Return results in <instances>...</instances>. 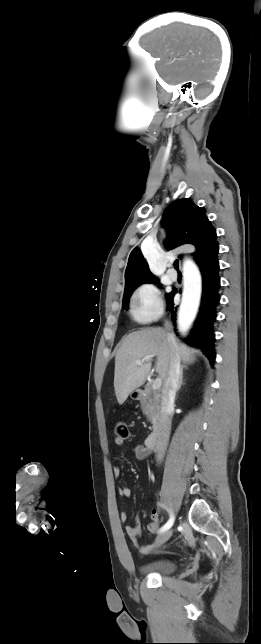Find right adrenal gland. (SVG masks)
<instances>
[{"mask_svg":"<svg viewBox=\"0 0 261 644\" xmlns=\"http://www.w3.org/2000/svg\"><path fill=\"white\" fill-rule=\"evenodd\" d=\"M182 385H183V369L181 368V374H180V379L177 387V392L180 390Z\"/></svg>","mask_w":261,"mask_h":644,"instance_id":"right-adrenal-gland-1","label":"right adrenal gland"}]
</instances>
